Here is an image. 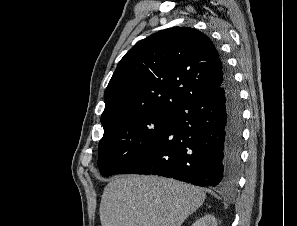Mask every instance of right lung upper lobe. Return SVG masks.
I'll return each instance as SVG.
<instances>
[{"label": "right lung upper lobe", "mask_w": 297, "mask_h": 226, "mask_svg": "<svg viewBox=\"0 0 297 226\" xmlns=\"http://www.w3.org/2000/svg\"><path fill=\"white\" fill-rule=\"evenodd\" d=\"M224 64L211 40L190 27H173L134 45L120 60L104 94V128L126 118L176 109L220 87Z\"/></svg>", "instance_id": "1"}]
</instances>
